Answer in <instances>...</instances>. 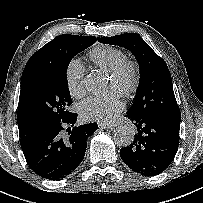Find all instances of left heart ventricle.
Instances as JSON below:
<instances>
[{
	"instance_id": "1",
	"label": "left heart ventricle",
	"mask_w": 203,
	"mask_h": 203,
	"mask_svg": "<svg viewBox=\"0 0 203 203\" xmlns=\"http://www.w3.org/2000/svg\"><path fill=\"white\" fill-rule=\"evenodd\" d=\"M129 81L128 73L124 72L118 76L112 77L114 87L120 91H124Z\"/></svg>"
}]
</instances>
